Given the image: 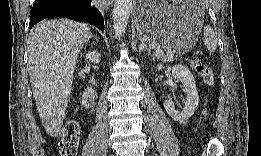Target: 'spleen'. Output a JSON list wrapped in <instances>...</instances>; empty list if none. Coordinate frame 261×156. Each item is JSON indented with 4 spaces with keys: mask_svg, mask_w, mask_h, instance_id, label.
I'll return each mask as SVG.
<instances>
[{
    "mask_svg": "<svg viewBox=\"0 0 261 156\" xmlns=\"http://www.w3.org/2000/svg\"><path fill=\"white\" fill-rule=\"evenodd\" d=\"M203 35H204L203 41L207 50L213 53L217 49L218 40L217 37L215 36L212 27L209 25L205 26Z\"/></svg>",
    "mask_w": 261,
    "mask_h": 156,
    "instance_id": "spleen-1",
    "label": "spleen"
}]
</instances>
